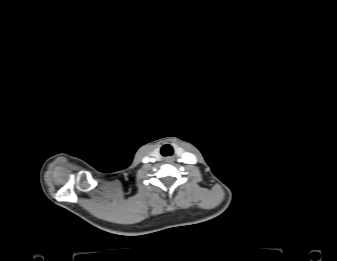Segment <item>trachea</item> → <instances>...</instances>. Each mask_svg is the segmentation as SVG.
I'll use <instances>...</instances> for the list:
<instances>
[{"mask_svg": "<svg viewBox=\"0 0 337 261\" xmlns=\"http://www.w3.org/2000/svg\"><path fill=\"white\" fill-rule=\"evenodd\" d=\"M170 147V145H164L163 147H162V152L166 149V148H169Z\"/></svg>", "mask_w": 337, "mask_h": 261, "instance_id": "trachea-1", "label": "trachea"}]
</instances>
